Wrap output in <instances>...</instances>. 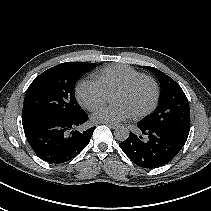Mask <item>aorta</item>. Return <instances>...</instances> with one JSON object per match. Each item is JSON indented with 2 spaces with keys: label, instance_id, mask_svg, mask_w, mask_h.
Masks as SVG:
<instances>
[{
  "label": "aorta",
  "instance_id": "762f6f07",
  "mask_svg": "<svg viewBox=\"0 0 211 211\" xmlns=\"http://www.w3.org/2000/svg\"><path fill=\"white\" fill-rule=\"evenodd\" d=\"M114 136L118 141H125L129 137V130L127 127L118 126L115 128Z\"/></svg>",
  "mask_w": 211,
  "mask_h": 211
}]
</instances>
